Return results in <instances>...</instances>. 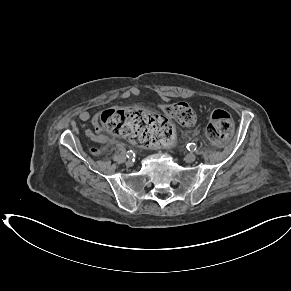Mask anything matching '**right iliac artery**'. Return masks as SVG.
Instances as JSON below:
<instances>
[{"label": "right iliac artery", "instance_id": "obj_1", "mask_svg": "<svg viewBox=\"0 0 291 291\" xmlns=\"http://www.w3.org/2000/svg\"><path fill=\"white\" fill-rule=\"evenodd\" d=\"M126 156L128 158H133L135 156V153L132 150H130V151L127 152Z\"/></svg>", "mask_w": 291, "mask_h": 291}]
</instances>
